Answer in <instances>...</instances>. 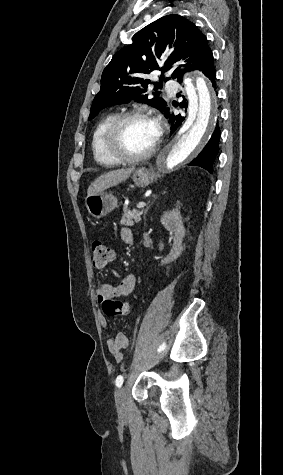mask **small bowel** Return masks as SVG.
Masks as SVG:
<instances>
[{"label":"small bowel","mask_w":283,"mask_h":475,"mask_svg":"<svg viewBox=\"0 0 283 475\" xmlns=\"http://www.w3.org/2000/svg\"><path fill=\"white\" fill-rule=\"evenodd\" d=\"M122 241L126 245H132L135 241L133 232L129 228H123L121 231ZM136 286V277L133 274L127 275L120 284L114 286L111 284L103 283L99 284L95 290L96 301L102 305L104 310V300L106 293H123L124 296L130 294ZM104 312V311H103ZM129 311H126L128 313ZM110 317H116L119 315H107ZM101 325L104 328L107 336V346L110 353L113 355L117 362H121L124 357V350L129 345L128 337L124 333H118L115 337H112L108 332L106 319H101Z\"/></svg>","instance_id":"1"}]
</instances>
